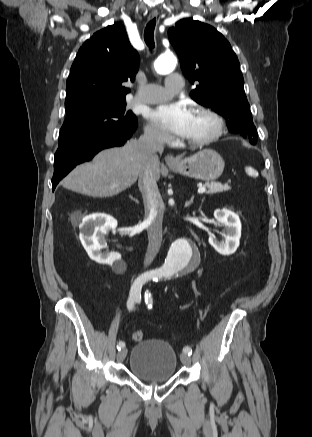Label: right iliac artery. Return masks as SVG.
I'll return each mask as SVG.
<instances>
[{
	"label": "right iliac artery",
	"mask_w": 312,
	"mask_h": 437,
	"mask_svg": "<svg viewBox=\"0 0 312 437\" xmlns=\"http://www.w3.org/2000/svg\"><path fill=\"white\" fill-rule=\"evenodd\" d=\"M155 276L153 274L150 273H144L141 274L133 283L131 290H130V294H129V298L127 301V308L129 311H132L134 309V305L135 303H140L141 301V290L143 285L150 281L151 279H154ZM125 346V343L123 341H120L117 344V349L120 350L121 348H123Z\"/></svg>",
	"instance_id": "obj_1"
}]
</instances>
